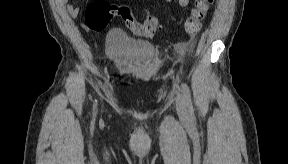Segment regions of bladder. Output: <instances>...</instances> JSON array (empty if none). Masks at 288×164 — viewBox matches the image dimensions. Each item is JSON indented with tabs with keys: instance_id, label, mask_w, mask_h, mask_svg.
Wrapping results in <instances>:
<instances>
[{
	"instance_id": "31cf9c89",
	"label": "bladder",
	"mask_w": 288,
	"mask_h": 164,
	"mask_svg": "<svg viewBox=\"0 0 288 164\" xmlns=\"http://www.w3.org/2000/svg\"><path fill=\"white\" fill-rule=\"evenodd\" d=\"M107 50L121 69L134 75L144 72L156 55V48L149 41L126 39L119 34L110 36Z\"/></svg>"
}]
</instances>
